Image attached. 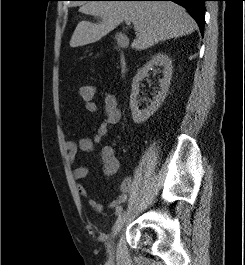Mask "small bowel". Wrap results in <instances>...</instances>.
<instances>
[{"mask_svg":"<svg viewBox=\"0 0 245 265\" xmlns=\"http://www.w3.org/2000/svg\"><path fill=\"white\" fill-rule=\"evenodd\" d=\"M85 109L90 113H96L98 106L94 101L84 103ZM104 121L96 130L92 137H83L78 142L66 141L64 144L67 159L70 164L76 160L78 151L92 152L95 145L102 141L107 136L109 130L116 125L121 118L120 104L117 97L107 92L104 96ZM100 158L103 166V172L106 176L114 175L119 169V161L115 155V151L111 146H105L100 152ZM89 170L85 165H79L73 170L74 178L77 180L84 179L88 176ZM134 188L132 177L126 176L118 185L119 193L116 198L108 204L109 208H117L128 200L130 193ZM77 191L79 195L85 199L91 208L97 212L104 210V205L97 200L90 198L87 189L84 185L78 184Z\"/></svg>","mask_w":245,"mask_h":265,"instance_id":"c3829d8e","label":"small bowel"}]
</instances>
